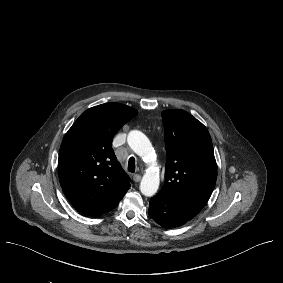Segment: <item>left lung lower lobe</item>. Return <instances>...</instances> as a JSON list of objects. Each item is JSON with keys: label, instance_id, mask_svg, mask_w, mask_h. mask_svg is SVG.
<instances>
[{"label": "left lung lower lobe", "instance_id": "left-lung-lower-lobe-1", "mask_svg": "<svg viewBox=\"0 0 283 283\" xmlns=\"http://www.w3.org/2000/svg\"><path fill=\"white\" fill-rule=\"evenodd\" d=\"M202 208L158 193L150 200L149 216L164 228H175L191 220Z\"/></svg>", "mask_w": 283, "mask_h": 283}]
</instances>
